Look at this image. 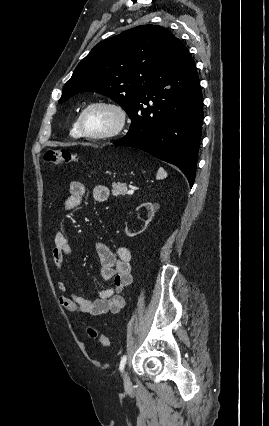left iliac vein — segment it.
<instances>
[{
  "label": "left iliac vein",
  "mask_w": 269,
  "mask_h": 426,
  "mask_svg": "<svg viewBox=\"0 0 269 426\" xmlns=\"http://www.w3.org/2000/svg\"><path fill=\"white\" fill-rule=\"evenodd\" d=\"M132 386L129 374L127 371L124 372V387L125 389H130Z\"/></svg>",
  "instance_id": "left-iliac-vein-1"
}]
</instances>
